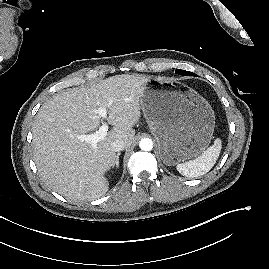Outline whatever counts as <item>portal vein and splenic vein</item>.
Wrapping results in <instances>:
<instances>
[{
    "instance_id": "portal-vein-and-splenic-vein-1",
    "label": "portal vein and splenic vein",
    "mask_w": 269,
    "mask_h": 269,
    "mask_svg": "<svg viewBox=\"0 0 269 269\" xmlns=\"http://www.w3.org/2000/svg\"><path fill=\"white\" fill-rule=\"evenodd\" d=\"M97 113L100 115V117L104 120L102 125L99 127V130L96 133L88 134V135H79L77 138L81 141H85L93 147V149L97 148V143L101 140H103L108 131V124L105 122V120L108 118L107 116V110L106 108L100 107L97 110Z\"/></svg>"
}]
</instances>
